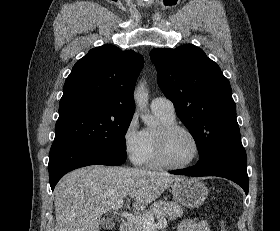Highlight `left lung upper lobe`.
Wrapping results in <instances>:
<instances>
[{"mask_svg": "<svg viewBox=\"0 0 280 231\" xmlns=\"http://www.w3.org/2000/svg\"><path fill=\"white\" fill-rule=\"evenodd\" d=\"M150 58L160 89L196 142L199 159L220 145L241 140L230 83L203 50L192 44L156 48Z\"/></svg>", "mask_w": 280, "mask_h": 231, "instance_id": "5c2ea615", "label": "left lung upper lobe"}]
</instances>
